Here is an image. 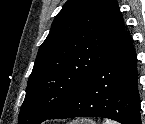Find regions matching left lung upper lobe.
<instances>
[{"mask_svg": "<svg viewBox=\"0 0 145 124\" xmlns=\"http://www.w3.org/2000/svg\"><path fill=\"white\" fill-rule=\"evenodd\" d=\"M115 0H68L39 48L19 124H40L63 106L125 35Z\"/></svg>", "mask_w": 145, "mask_h": 124, "instance_id": "5c2ea615", "label": "left lung upper lobe"}]
</instances>
